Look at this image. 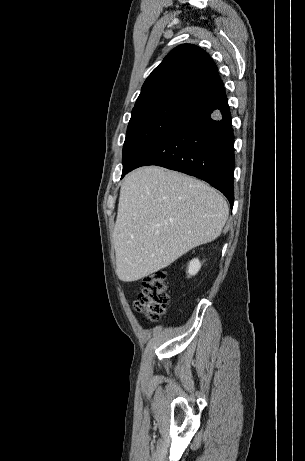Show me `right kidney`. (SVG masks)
Listing matches in <instances>:
<instances>
[{"label": "right kidney", "mask_w": 305, "mask_h": 461, "mask_svg": "<svg viewBox=\"0 0 305 461\" xmlns=\"http://www.w3.org/2000/svg\"><path fill=\"white\" fill-rule=\"evenodd\" d=\"M201 268V263L199 261V259H193L190 261L189 263V266H188V274H189V277L190 276H194L198 273V271L200 270Z\"/></svg>", "instance_id": "1"}]
</instances>
